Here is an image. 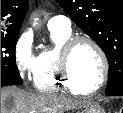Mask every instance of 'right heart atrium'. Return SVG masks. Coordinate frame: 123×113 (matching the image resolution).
Here are the masks:
<instances>
[{"label":"right heart atrium","mask_w":123,"mask_h":113,"mask_svg":"<svg viewBox=\"0 0 123 113\" xmlns=\"http://www.w3.org/2000/svg\"><path fill=\"white\" fill-rule=\"evenodd\" d=\"M13 56L20 78L23 81L32 80L36 70L37 56L34 52L33 37L29 32H24L17 38Z\"/></svg>","instance_id":"obj_1"}]
</instances>
